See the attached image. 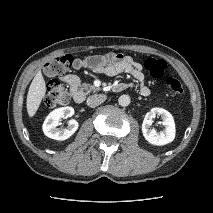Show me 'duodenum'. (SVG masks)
Instances as JSON below:
<instances>
[{
	"label": "duodenum",
	"instance_id": "1",
	"mask_svg": "<svg viewBox=\"0 0 213 213\" xmlns=\"http://www.w3.org/2000/svg\"><path fill=\"white\" fill-rule=\"evenodd\" d=\"M130 85L126 83H118L114 85L113 90L115 92H121L126 90ZM73 99L76 103L80 104L83 103L86 99V93L82 90H78L73 94Z\"/></svg>",
	"mask_w": 213,
	"mask_h": 213
}]
</instances>
